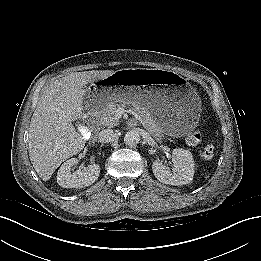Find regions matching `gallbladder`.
<instances>
[{
    "instance_id": "obj_1",
    "label": "gallbladder",
    "mask_w": 261,
    "mask_h": 261,
    "mask_svg": "<svg viewBox=\"0 0 261 261\" xmlns=\"http://www.w3.org/2000/svg\"><path fill=\"white\" fill-rule=\"evenodd\" d=\"M78 130L81 132V135H83L85 139H88L91 136V131L87 129L86 126L80 125L78 127Z\"/></svg>"
}]
</instances>
